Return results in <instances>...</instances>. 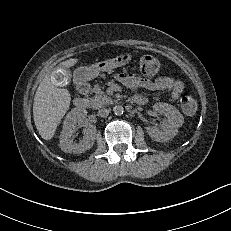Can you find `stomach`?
I'll use <instances>...</instances> for the list:
<instances>
[{
	"label": "stomach",
	"mask_w": 231,
	"mask_h": 231,
	"mask_svg": "<svg viewBox=\"0 0 231 231\" xmlns=\"http://www.w3.org/2000/svg\"><path fill=\"white\" fill-rule=\"evenodd\" d=\"M132 60L131 53L121 54L113 59L100 61L89 67L82 66L75 71V77L80 81H88L96 78L101 72L112 71L115 68L125 66Z\"/></svg>",
	"instance_id": "obj_1"
}]
</instances>
